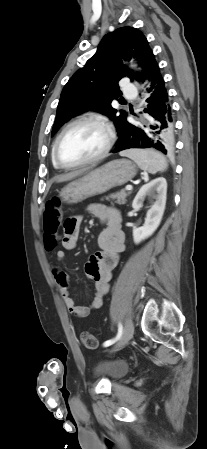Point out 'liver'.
<instances>
[{
  "label": "liver",
  "mask_w": 207,
  "mask_h": 449,
  "mask_svg": "<svg viewBox=\"0 0 207 449\" xmlns=\"http://www.w3.org/2000/svg\"><path fill=\"white\" fill-rule=\"evenodd\" d=\"M85 172H86V169H83V170L74 171V172H70V173H67L64 175L57 176L56 182L61 183V182L72 180V179L84 174Z\"/></svg>",
  "instance_id": "1"
}]
</instances>
